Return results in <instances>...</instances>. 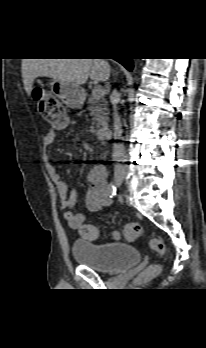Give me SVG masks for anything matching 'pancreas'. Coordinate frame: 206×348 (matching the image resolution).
Masks as SVG:
<instances>
[{
    "instance_id": "1",
    "label": "pancreas",
    "mask_w": 206,
    "mask_h": 348,
    "mask_svg": "<svg viewBox=\"0 0 206 348\" xmlns=\"http://www.w3.org/2000/svg\"><path fill=\"white\" fill-rule=\"evenodd\" d=\"M88 110L91 111L93 116V124L96 128L107 125L108 121V108L105 100L100 97L96 98L93 95L88 99Z\"/></svg>"
}]
</instances>
